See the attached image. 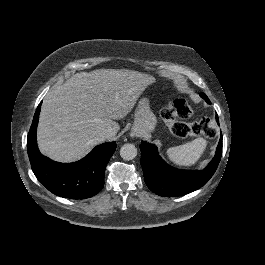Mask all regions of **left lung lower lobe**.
I'll use <instances>...</instances> for the list:
<instances>
[{
	"label": "left lung lower lobe",
	"mask_w": 265,
	"mask_h": 265,
	"mask_svg": "<svg viewBox=\"0 0 265 265\" xmlns=\"http://www.w3.org/2000/svg\"><path fill=\"white\" fill-rule=\"evenodd\" d=\"M200 96L210 104L204 93ZM216 120L219 123L217 114ZM140 149L144 180L149 189L163 197L182 196L201 188L216 171L222 155V135L215 157L203 171L179 170L170 167L161 159L153 144L142 142Z\"/></svg>",
	"instance_id": "0a47b994"
}]
</instances>
